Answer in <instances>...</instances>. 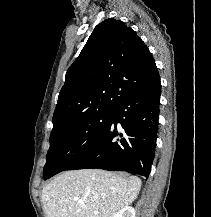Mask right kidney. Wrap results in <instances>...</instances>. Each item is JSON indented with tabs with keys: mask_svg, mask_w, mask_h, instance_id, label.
I'll list each match as a JSON object with an SVG mask.
<instances>
[{
	"mask_svg": "<svg viewBox=\"0 0 211 217\" xmlns=\"http://www.w3.org/2000/svg\"><path fill=\"white\" fill-rule=\"evenodd\" d=\"M135 209L131 206H127L117 212L113 217H135Z\"/></svg>",
	"mask_w": 211,
	"mask_h": 217,
	"instance_id": "ca27d5eb",
	"label": "right kidney"
}]
</instances>
